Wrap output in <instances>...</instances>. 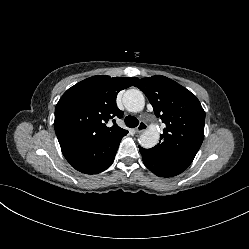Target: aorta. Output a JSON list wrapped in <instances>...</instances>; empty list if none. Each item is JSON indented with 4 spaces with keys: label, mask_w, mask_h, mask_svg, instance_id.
I'll use <instances>...</instances> for the list:
<instances>
[{
    "label": "aorta",
    "mask_w": 249,
    "mask_h": 249,
    "mask_svg": "<svg viewBox=\"0 0 249 249\" xmlns=\"http://www.w3.org/2000/svg\"><path fill=\"white\" fill-rule=\"evenodd\" d=\"M123 103L130 112H140L145 105L143 93L138 89L127 90L123 96ZM159 132L155 126L149 127L139 137V144L146 149L154 147L159 141Z\"/></svg>",
    "instance_id": "aorta-1"
}]
</instances>
